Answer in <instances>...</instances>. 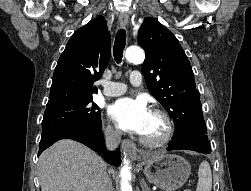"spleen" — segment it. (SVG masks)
Returning a JSON list of instances; mask_svg holds the SVG:
<instances>
[{
  "label": "spleen",
  "mask_w": 251,
  "mask_h": 191,
  "mask_svg": "<svg viewBox=\"0 0 251 191\" xmlns=\"http://www.w3.org/2000/svg\"><path fill=\"white\" fill-rule=\"evenodd\" d=\"M198 183L196 187V191H211L212 189V171L211 167L204 159V161H201L198 169Z\"/></svg>",
  "instance_id": "1"
}]
</instances>
